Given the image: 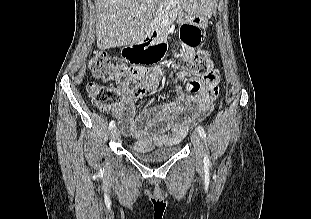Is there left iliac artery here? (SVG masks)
I'll return each instance as SVG.
<instances>
[{"instance_id": "44dca946", "label": "left iliac artery", "mask_w": 311, "mask_h": 219, "mask_svg": "<svg viewBox=\"0 0 311 219\" xmlns=\"http://www.w3.org/2000/svg\"><path fill=\"white\" fill-rule=\"evenodd\" d=\"M197 131H198V133L200 134V136L202 137V139L205 140V138H206V133H205L203 127H202V126H198V127H197ZM204 162L207 163V164L210 163V160H209V157H208L207 154H205V156H204Z\"/></svg>"}]
</instances>
